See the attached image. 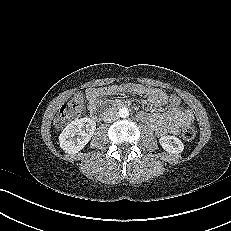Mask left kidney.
Listing matches in <instances>:
<instances>
[{"label": "left kidney", "instance_id": "1", "mask_svg": "<svg viewBox=\"0 0 231 231\" xmlns=\"http://www.w3.org/2000/svg\"><path fill=\"white\" fill-rule=\"evenodd\" d=\"M159 140L162 148L169 153L178 154L184 149L182 141L175 136H162Z\"/></svg>", "mask_w": 231, "mask_h": 231}]
</instances>
